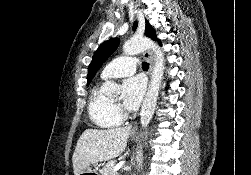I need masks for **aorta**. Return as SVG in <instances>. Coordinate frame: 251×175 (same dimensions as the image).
<instances>
[{"mask_svg":"<svg viewBox=\"0 0 251 175\" xmlns=\"http://www.w3.org/2000/svg\"><path fill=\"white\" fill-rule=\"evenodd\" d=\"M148 48L154 52V64L152 68L151 82L149 84V88L147 89L146 97H144L140 111V121L142 127H147L150 119H152V115L156 107L159 88L165 70L164 54L157 44H154L151 40H147V38H131V40H127L123 46L125 56H134V54H139V52H145ZM102 89L103 91H106V93H115L118 86L117 84H114V82H105ZM137 149V167L140 169L143 159L140 145H138Z\"/></svg>","mask_w":251,"mask_h":175,"instance_id":"obj_1","label":"aorta"}]
</instances>
